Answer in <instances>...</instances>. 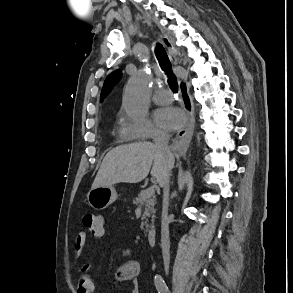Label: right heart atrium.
Instances as JSON below:
<instances>
[{"label":"right heart atrium","instance_id":"1","mask_svg":"<svg viewBox=\"0 0 293 293\" xmlns=\"http://www.w3.org/2000/svg\"><path fill=\"white\" fill-rule=\"evenodd\" d=\"M120 120L123 126V133L128 139H153L166 135L147 117L134 119L121 111Z\"/></svg>","mask_w":293,"mask_h":293}]
</instances>
